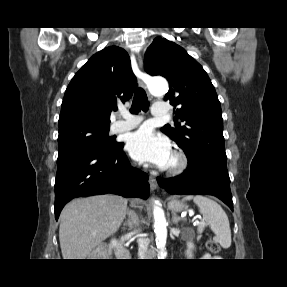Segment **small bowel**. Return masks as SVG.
Segmentation results:
<instances>
[{
    "instance_id": "obj_1",
    "label": "small bowel",
    "mask_w": 287,
    "mask_h": 287,
    "mask_svg": "<svg viewBox=\"0 0 287 287\" xmlns=\"http://www.w3.org/2000/svg\"><path fill=\"white\" fill-rule=\"evenodd\" d=\"M204 257L207 258V257H208V254H204Z\"/></svg>"
}]
</instances>
